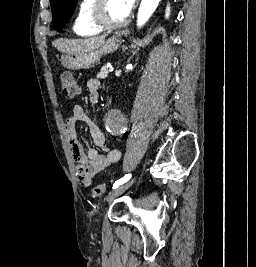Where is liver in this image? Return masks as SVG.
I'll return each mask as SVG.
<instances>
[{
  "mask_svg": "<svg viewBox=\"0 0 256 267\" xmlns=\"http://www.w3.org/2000/svg\"><path fill=\"white\" fill-rule=\"evenodd\" d=\"M106 36H94V38H85V40H65V38H59L54 40L52 46H55L59 52H65V54H84L88 50H96L101 44H103Z\"/></svg>",
  "mask_w": 256,
  "mask_h": 267,
  "instance_id": "liver-1",
  "label": "liver"
}]
</instances>
